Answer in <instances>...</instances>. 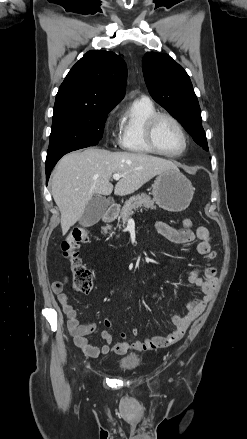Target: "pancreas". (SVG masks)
Instances as JSON below:
<instances>
[{"mask_svg": "<svg viewBox=\"0 0 247 439\" xmlns=\"http://www.w3.org/2000/svg\"><path fill=\"white\" fill-rule=\"evenodd\" d=\"M138 208L153 210L156 207L151 197L145 193L132 196L125 202L120 212L119 218L121 219L122 223L125 224L129 220L130 216L134 213V210H137ZM120 226L121 225H119V227Z\"/></svg>", "mask_w": 247, "mask_h": 439, "instance_id": "obj_1", "label": "pancreas"}]
</instances>
